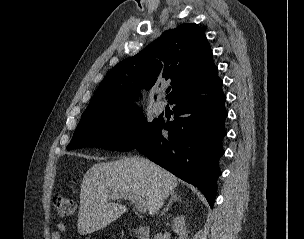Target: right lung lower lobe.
Returning <instances> with one entry per match:
<instances>
[{"label":"right lung lower lobe","instance_id":"98d812e1","mask_svg":"<svg viewBox=\"0 0 304 239\" xmlns=\"http://www.w3.org/2000/svg\"><path fill=\"white\" fill-rule=\"evenodd\" d=\"M217 70L198 84L176 94L174 121L160 120L151 135L134 149L177 177L198 187L212 207L217 178L221 175L219 158L224 154L222 139L226 96ZM167 130L163 136L161 130Z\"/></svg>","mask_w":304,"mask_h":239}]
</instances>
